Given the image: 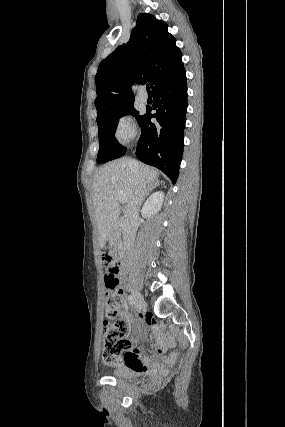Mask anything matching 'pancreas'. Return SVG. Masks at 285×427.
<instances>
[{
    "mask_svg": "<svg viewBox=\"0 0 285 427\" xmlns=\"http://www.w3.org/2000/svg\"><path fill=\"white\" fill-rule=\"evenodd\" d=\"M110 243L111 245L114 246H121V234L119 231H116L112 234L111 238H110Z\"/></svg>",
    "mask_w": 285,
    "mask_h": 427,
    "instance_id": "obj_1",
    "label": "pancreas"
}]
</instances>
